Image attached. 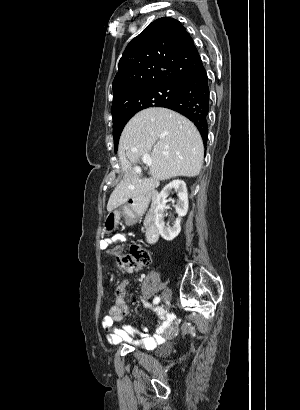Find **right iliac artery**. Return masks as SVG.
<instances>
[{
  "instance_id": "obj_1",
  "label": "right iliac artery",
  "mask_w": 300,
  "mask_h": 410,
  "mask_svg": "<svg viewBox=\"0 0 300 410\" xmlns=\"http://www.w3.org/2000/svg\"><path fill=\"white\" fill-rule=\"evenodd\" d=\"M160 302V297H155L153 300L154 304H158Z\"/></svg>"
}]
</instances>
